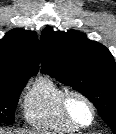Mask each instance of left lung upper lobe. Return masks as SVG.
I'll list each match as a JSON object with an SVG mask.
<instances>
[{"label": "left lung upper lobe", "instance_id": "left-lung-upper-lobe-1", "mask_svg": "<svg viewBox=\"0 0 116 134\" xmlns=\"http://www.w3.org/2000/svg\"><path fill=\"white\" fill-rule=\"evenodd\" d=\"M41 42V72L86 96L116 134V64L110 51L74 30L48 27Z\"/></svg>", "mask_w": 116, "mask_h": 134}]
</instances>
